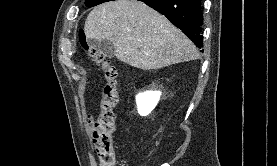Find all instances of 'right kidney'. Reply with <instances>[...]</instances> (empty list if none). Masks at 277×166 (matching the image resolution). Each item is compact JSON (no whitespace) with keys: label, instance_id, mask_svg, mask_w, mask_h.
Here are the masks:
<instances>
[{"label":"right kidney","instance_id":"right-kidney-1","mask_svg":"<svg viewBox=\"0 0 277 166\" xmlns=\"http://www.w3.org/2000/svg\"><path fill=\"white\" fill-rule=\"evenodd\" d=\"M160 91H146L136 96L138 113L141 116L149 115L160 100Z\"/></svg>","mask_w":277,"mask_h":166}]
</instances>
